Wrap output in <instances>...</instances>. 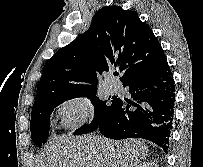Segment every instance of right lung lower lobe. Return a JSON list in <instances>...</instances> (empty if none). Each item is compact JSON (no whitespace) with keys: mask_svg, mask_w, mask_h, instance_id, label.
<instances>
[{"mask_svg":"<svg viewBox=\"0 0 203 167\" xmlns=\"http://www.w3.org/2000/svg\"><path fill=\"white\" fill-rule=\"evenodd\" d=\"M135 101L116 99L97 129L107 138H143L167 153L173 125L175 85L167 60L123 83Z\"/></svg>","mask_w":203,"mask_h":167,"instance_id":"1","label":"right lung lower lobe"}]
</instances>
